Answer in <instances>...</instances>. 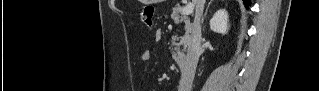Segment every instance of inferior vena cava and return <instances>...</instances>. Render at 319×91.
<instances>
[{"mask_svg":"<svg viewBox=\"0 0 319 91\" xmlns=\"http://www.w3.org/2000/svg\"><path fill=\"white\" fill-rule=\"evenodd\" d=\"M195 18L191 29V35L188 41L187 55L184 67L181 71L178 91H191L192 83L199 59V48L201 43V20L205 0H196Z\"/></svg>","mask_w":319,"mask_h":91,"instance_id":"obj_1","label":"inferior vena cava"}]
</instances>
